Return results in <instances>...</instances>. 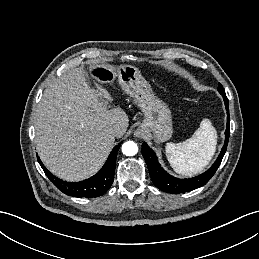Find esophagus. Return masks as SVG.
I'll return each mask as SVG.
<instances>
[{
	"mask_svg": "<svg viewBox=\"0 0 259 259\" xmlns=\"http://www.w3.org/2000/svg\"><path fill=\"white\" fill-rule=\"evenodd\" d=\"M135 136L138 137V138H143L145 136V131L143 128H138L136 131H135Z\"/></svg>",
	"mask_w": 259,
	"mask_h": 259,
	"instance_id": "34e87169",
	"label": "esophagus"
}]
</instances>
